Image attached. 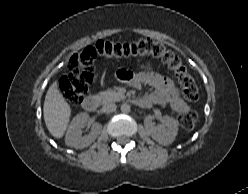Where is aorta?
<instances>
[{"label": "aorta", "mask_w": 248, "mask_h": 194, "mask_svg": "<svg viewBox=\"0 0 248 194\" xmlns=\"http://www.w3.org/2000/svg\"><path fill=\"white\" fill-rule=\"evenodd\" d=\"M130 110H131V107H130L129 104L123 103V104L121 105V111H122L123 113H129Z\"/></svg>", "instance_id": "1"}]
</instances>
